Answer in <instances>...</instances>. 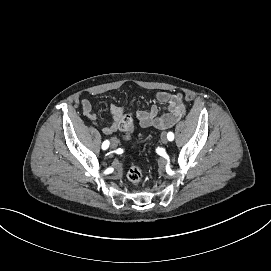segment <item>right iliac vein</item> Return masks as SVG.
Here are the masks:
<instances>
[{
  "label": "right iliac vein",
  "mask_w": 271,
  "mask_h": 271,
  "mask_svg": "<svg viewBox=\"0 0 271 271\" xmlns=\"http://www.w3.org/2000/svg\"><path fill=\"white\" fill-rule=\"evenodd\" d=\"M118 144H119V142H118L117 138H112V139H111V141H110V146H111L113 149L117 148V147H118Z\"/></svg>",
  "instance_id": "obj_1"
}]
</instances>
